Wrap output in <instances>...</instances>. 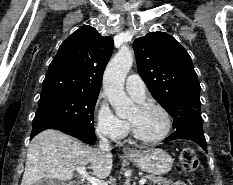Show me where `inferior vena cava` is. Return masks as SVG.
<instances>
[{
	"label": "inferior vena cava",
	"instance_id": "602c4592",
	"mask_svg": "<svg viewBox=\"0 0 233 185\" xmlns=\"http://www.w3.org/2000/svg\"><path fill=\"white\" fill-rule=\"evenodd\" d=\"M99 147H100V150L103 152L111 151V146L109 144V141L102 134H100Z\"/></svg>",
	"mask_w": 233,
	"mask_h": 185
}]
</instances>
